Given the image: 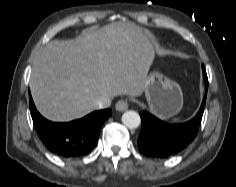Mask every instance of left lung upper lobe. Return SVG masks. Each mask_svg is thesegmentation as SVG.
<instances>
[{"instance_id":"obj_1","label":"left lung upper lobe","mask_w":236,"mask_h":187,"mask_svg":"<svg viewBox=\"0 0 236 187\" xmlns=\"http://www.w3.org/2000/svg\"><path fill=\"white\" fill-rule=\"evenodd\" d=\"M203 78H204V81H205V82H208L206 71H205V73H204V75H203Z\"/></svg>"}]
</instances>
